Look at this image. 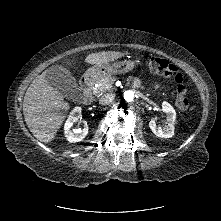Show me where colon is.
Masks as SVG:
<instances>
[{"label": "colon", "mask_w": 221, "mask_h": 221, "mask_svg": "<svg viewBox=\"0 0 221 221\" xmlns=\"http://www.w3.org/2000/svg\"><path fill=\"white\" fill-rule=\"evenodd\" d=\"M144 63L154 73L174 79L177 85L176 105L182 111L188 110L190 101L187 97V89L184 84L183 75L178 71V68L168 60L160 57H146Z\"/></svg>", "instance_id": "colon-1"}]
</instances>
